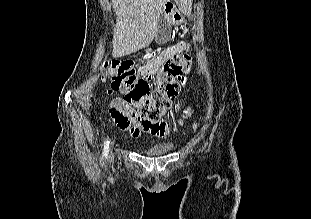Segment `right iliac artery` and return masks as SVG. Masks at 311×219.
<instances>
[{
    "mask_svg": "<svg viewBox=\"0 0 311 219\" xmlns=\"http://www.w3.org/2000/svg\"><path fill=\"white\" fill-rule=\"evenodd\" d=\"M109 140H107L105 143H104V150H103V156L105 158H107L108 156V152H109Z\"/></svg>",
    "mask_w": 311,
    "mask_h": 219,
    "instance_id": "82829eb1",
    "label": "right iliac artery"
}]
</instances>
